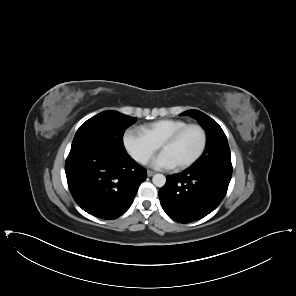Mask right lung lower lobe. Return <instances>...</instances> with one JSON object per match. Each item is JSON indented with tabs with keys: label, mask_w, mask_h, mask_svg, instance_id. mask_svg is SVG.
<instances>
[{
	"label": "right lung lower lobe",
	"mask_w": 296,
	"mask_h": 296,
	"mask_svg": "<svg viewBox=\"0 0 296 296\" xmlns=\"http://www.w3.org/2000/svg\"><path fill=\"white\" fill-rule=\"evenodd\" d=\"M65 172L76 203L87 213L108 220L128 210L147 177L146 169L127 153L90 146L71 149Z\"/></svg>",
	"instance_id": "98d812e1"
}]
</instances>
